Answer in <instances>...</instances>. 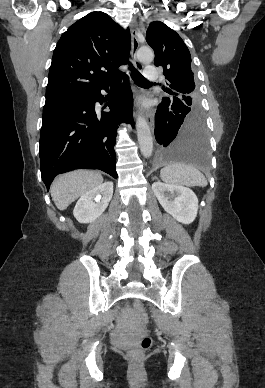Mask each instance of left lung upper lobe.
I'll use <instances>...</instances> for the list:
<instances>
[{
    "label": "left lung upper lobe",
    "instance_id": "obj_1",
    "mask_svg": "<svg viewBox=\"0 0 265 388\" xmlns=\"http://www.w3.org/2000/svg\"><path fill=\"white\" fill-rule=\"evenodd\" d=\"M146 41L155 53V66L163 68L165 89L169 98L180 100L186 106L200 109V99L191 70V55L181 37L166 24L152 22L146 32Z\"/></svg>",
    "mask_w": 265,
    "mask_h": 388
}]
</instances>
